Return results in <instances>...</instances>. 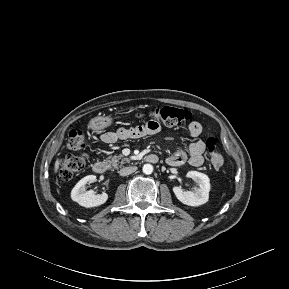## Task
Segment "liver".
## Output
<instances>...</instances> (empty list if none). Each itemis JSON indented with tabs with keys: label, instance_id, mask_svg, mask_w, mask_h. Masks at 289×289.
Listing matches in <instances>:
<instances>
[{
	"label": "liver",
	"instance_id": "1",
	"mask_svg": "<svg viewBox=\"0 0 289 289\" xmlns=\"http://www.w3.org/2000/svg\"><path fill=\"white\" fill-rule=\"evenodd\" d=\"M60 165V160H56L55 162V167H54V172L57 173Z\"/></svg>",
	"mask_w": 289,
	"mask_h": 289
}]
</instances>
